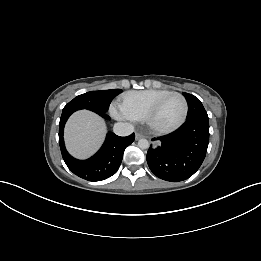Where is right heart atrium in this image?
I'll return each instance as SVG.
<instances>
[{
	"label": "right heart atrium",
	"instance_id": "obj_1",
	"mask_svg": "<svg viewBox=\"0 0 261 261\" xmlns=\"http://www.w3.org/2000/svg\"><path fill=\"white\" fill-rule=\"evenodd\" d=\"M111 114L118 119H128L120 110V108H117L115 106L111 107Z\"/></svg>",
	"mask_w": 261,
	"mask_h": 261
}]
</instances>
